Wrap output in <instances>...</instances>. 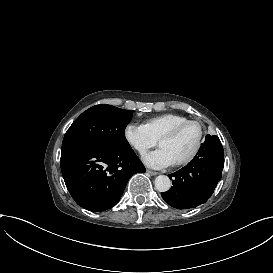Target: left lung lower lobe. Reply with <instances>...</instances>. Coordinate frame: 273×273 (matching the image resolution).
Returning <instances> with one entry per match:
<instances>
[{
    "label": "left lung lower lobe",
    "mask_w": 273,
    "mask_h": 273,
    "mask_svg": "<svg viewBox=\"0 0 273 273\" xmlns=\"http://www.w3.org/2000/svg\"><path fill=\"white\" fill-rule=\"evenodd\" d=\"M224 151L216 135H207L197 155L169 178L173 186L161 193L170 206L177 209L195 208L213 194L222 176Z\"/></svg>",
    "instance_id": "0a47b994"
}]
</instances>
